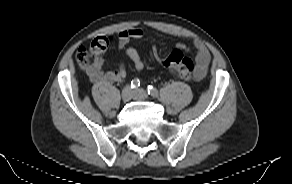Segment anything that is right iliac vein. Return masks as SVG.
Segmentation results:
<instances>
[{
	"label": "right iliac vein",
	"instance_id": "obj_1",
	"mask_svg": "<svg viewBox=\"0 0 292 184\" xmlns=\"http://www.w3.org/2000/svg\"><path fill=\"white\" fill-rule=\"evenodd\" d=\"M121 97L124 102H128L129 100H131V98L133 97V90L129 85L124 87L121 93Z\"/></svg>",
	"mask_w": 292,
	"mask_h": 184
}]
</instances>
